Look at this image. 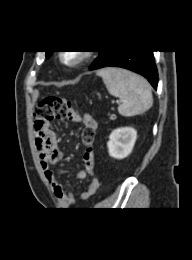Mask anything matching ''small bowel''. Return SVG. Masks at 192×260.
Returning <instances> with one entry per match:
<instances>
[{"label": "small bowel", "instance_id": "c3829d8e", "mask_svg": "<svg viewBox=\"0 0 192 260\" xmlns=\"http://www.w3.org/2000/svg\"><path fill=\"white\" fill-rule=\"evenodd\" d=\"M68 119L77 123L82 122L84 127L91 128L93 131L97 129V122L88 114L82 116L80 113L75 112ZM34 137L41 167L59 204L64 208L74 206L76 201L72 191L58 180L52 170V166L62 159V151L58 146L56 133L51 129L48 122H36ZM83 161L84 168L77 173V178L83 180L89 176L92 177L86 189L80 192V198L85 201L96 193L99 188V180L94 173L95 155L92 150L84 153Z\"/></svg>", "mask_w": 192, "mask_h": 260}]
</instances>
